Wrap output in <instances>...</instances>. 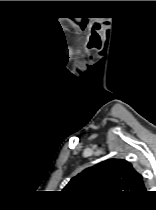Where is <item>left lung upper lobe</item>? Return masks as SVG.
I'll return each instance as SVG.
<instances>
[{"label":"left lung upper lobe","instance_id":"1","mask_svg":"<svg viewBox=\"0 0 156 210\" xmlns=\"http://www.w3.org/2000/svg\"><path fill=\"white\" fill-rule=\"evenodd\" d=\"M64 190L78 193L105 191L117 196H135L146 192L142 175L122 159H109L85 169L73 177Z\"/></svg>","mask_w":156,"mask_h":210}]
</instances>
